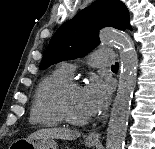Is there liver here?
Returning a JSON list of instances; mask_svg holds the SVG:
<instances>
[{
	"label": "liver",
	"mask_w": 155,
	"mask_h": 149,
	"mask_svg": "<svg viewBox=\"0 0 155 149\" xmlns=\"http://www.w3.org/2000/svg\"><path fill=\"white\" fill-rule=\"evenodd\" d=\"M80 132L77 130H71L67 128H47L40 129L32 133L28 138H38V137H50L63 140H74L80 137Z\"/></svg>",
	"instance_id": "obj_1"
}]
</instances>
